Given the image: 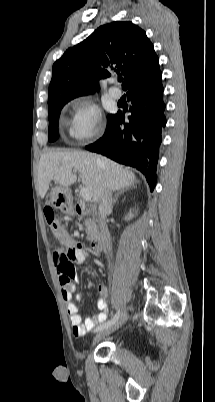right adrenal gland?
<instances>
[{
    "instance_id": "obj_1",
    "label": "right adrenal gland",
    "mask_w": 215,
    "mask_h": 402,
    "mask_svg": "<svg viewBox=\"0 0 215 402\" xmlns=\"http://www.w3.org/2000/svg\"><path fill=\"white\" fill-rule=\"evenodd\" d=\"M128 189H129V187H126L125 189H122V190H120L119 192H117V193L115 194L114 199H113V205L116 204L119 195L124 194V192H126Z\"/></svg>"
}]
</instances>
